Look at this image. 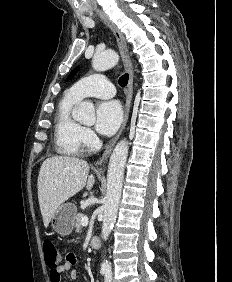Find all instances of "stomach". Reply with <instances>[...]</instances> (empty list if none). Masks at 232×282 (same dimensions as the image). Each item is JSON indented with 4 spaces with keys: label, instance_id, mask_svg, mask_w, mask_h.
<instances>
[{
    "label": "stomach",
    "instance_id": "0dacf381",
    "mask_svg": "<svg viewBox=\"0 0 232 282\" xmlns=\"http://www.w3.org/2000/svg\"><path fill=\"white\" fill-rule=\"evenodd\" d=\"M76 213L77 207L72 203L58 207L51 218L53 230L61 236L70 235L74 228Z\"/></svg>",
    "mask_w": 232,
    "mask_h": 282
}]
</instances>
